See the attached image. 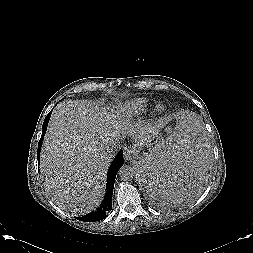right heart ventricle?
Instances as JSON below:
<instances>
[{
  "label": "right heart ventricle",
  "instance_id": "right-heart-ventricle-1",
  "mask_svg": "<svg viewBox=\"0 0 253 253\" xmlns=\"http://www.w3.org/2000/svg\"><path fill=\"white\" fill-rule=\"evenodd\" d=\"M148 105V99L138 98L125 105L124 110L129 117H137L147 110Z\"/></svg>",
  "mask_w": 253,
  "mask_h": 253
}]
</instances>
